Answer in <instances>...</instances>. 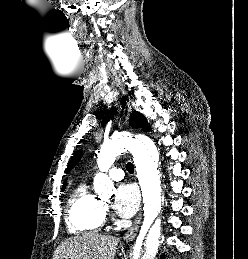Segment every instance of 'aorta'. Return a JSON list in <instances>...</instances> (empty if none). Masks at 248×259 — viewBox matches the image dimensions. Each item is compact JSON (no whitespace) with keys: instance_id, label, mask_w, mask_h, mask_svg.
I'll use <instances>...</instances> for the list:
<instances>
[{"instance_id":"aorta-1","label":"aorta","mask_w":248,"mask_h":259,"mask_svg":"<svg viewBox=\"0 0 248 259\" xmlns=\"http://www.w3.org/2000/svg\"><path fill=\"white\" fill-rule=\"evenodd\" d=\"M125 150H131L136 167L139 185L143 196L144 222L140 237L137 240L133 259H155L160 244L161 219V181L157 167L159 152L154 142L145 136L133 138L130 135L114 136L104 142L98 155L97 164L101 173L94 178V190L100 196L109 194L113 182L104 174L114 163L117 155ZM145 230L148 231L144 252L141 253V243Z\"/></svg>"}]
</instances>
